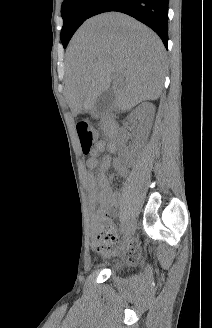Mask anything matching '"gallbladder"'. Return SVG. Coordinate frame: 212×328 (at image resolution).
I'll list each match as a JSON object with an SVG mask.
<instances>
[{"label":"gallbladder","instance_id":"gallbladder-1","mask_svg":"<svg viewBox=\"0 0 212 328\" xmlns=\"http://www.w3.org/2000/svg\"><path fill=\"white\" fill-rule=\"evenodd\" d=\"M114 99L115 95L112 89H108L99 95L90 111L92 118L97 119L105 112L110 111L114 106Z\"/></svg>","mask_w":212,"mask_h":328}]
</instances>
